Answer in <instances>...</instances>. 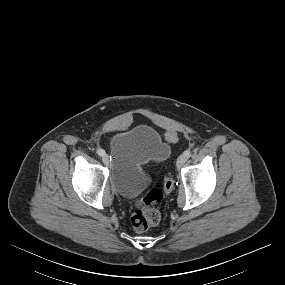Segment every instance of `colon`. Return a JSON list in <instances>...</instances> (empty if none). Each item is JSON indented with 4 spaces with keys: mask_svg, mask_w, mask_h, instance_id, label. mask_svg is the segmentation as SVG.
Instances as JSON below:
<instances>
[{
    "mask_svg": "<svg viewBox=\"0 0 285 285\" xmlns=\"http://www.w3.org/2000/svg\"><path fill=\"white\" fill-rule=\"evenodd\" d=\"M165 140L168 143H175L178 136L174 131H167ZM174 181L169 174L164 178L163 190L169 192L172 190ZM163 198V191L157 188H152L145 193L141 200L136 205L131 215V224L137 232H144L156 226L160 222V213L154 208Z\"/></svg>",
    "mask_w": 285,
    "mask_h": 285,
    "instance_id": "colon-1",
    "label": "colon"
}]
</instances>
